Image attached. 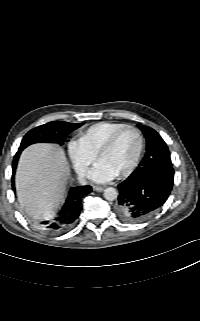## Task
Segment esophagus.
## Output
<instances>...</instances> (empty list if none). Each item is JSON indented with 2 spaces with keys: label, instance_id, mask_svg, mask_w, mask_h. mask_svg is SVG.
Listing matches in <instances>:
<instances>
[{
  "label": "esophagus",
  "instance_id": "1",
  "mask_svg": "<svg viewBox=\"0 0 200 321\" xmlns=\"http://www.w3.org/2000/svg\"><path fill=\"white\" fill-rule=\"evenodd\" d=\"M93 190L96 192H102L104 190V188L101 186H93Z\"/></svg>",
  "mask_w": 200,
  "mask_h": 321
}]
</instances>
